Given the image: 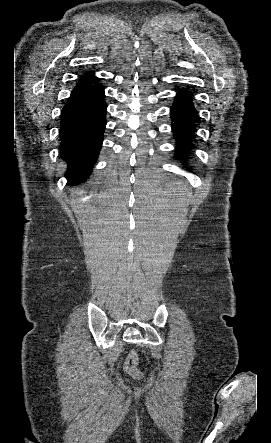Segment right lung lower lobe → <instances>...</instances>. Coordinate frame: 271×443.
I'll use <instances>...</instances> for the list:
<instances>
[{"label":"right lung lower lobe","mask_w":271,"mask_h":443,"mask_svg":"<svg viewBox=\"0 0 271 443\" xmlns=\"http://www.w3.org/2000/svg\"><path fill=\"white\" fill-rule=\"evenodd\" d=\"M98 79L79 81L61 112L60 154L72 185L85 181L102 147L107 105Z\"/></svg>","instance_id":"98d812e1"}]
</instances>
